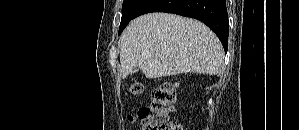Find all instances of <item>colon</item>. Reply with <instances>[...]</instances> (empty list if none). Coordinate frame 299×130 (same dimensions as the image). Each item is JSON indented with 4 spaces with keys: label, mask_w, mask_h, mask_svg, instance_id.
I'll use <instances>...</instances> for the list:
<instances>
[{
    "label": "colon",
    "mask_w": 299,
    "mask_h": 130,
    "mask_svg": "<svg viewBox=\"0 0 299 130\" xmlns=\"http://www.w3.org/2000/svg\"><path fill=\"white\" fill-rule=\"evenodd\" d=\"M144 90L141 81H134L129 91L139 95ZM176 101V85L173 82H164L152 92L150 106L140 108L138 117L141 120V130H183L171 119Z\"/></svg>",
    "instance_id": "1"
}]
</instances>
